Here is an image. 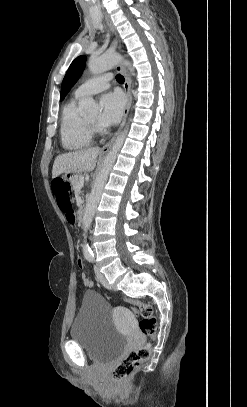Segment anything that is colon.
I'll return each mask as SVG.
<instances>
[{"label":"colon","instance_id":"5ec220e1","mask_svg":"<svg viewBox=\"0 0 247 407\" xmlns=\"http://www.w3.org/2000/svg\"><path fill=\"white\" fill-rule=\"evenodd\" d=\"M52 191L60 210L64 214L69 213L72 210L71 185L62 179H55L52 182ZM125 301L132 305L134 312L140 317V331L144 335L153 338L157 331V320L154 316L152 306L132 297H126ZM150 355L151 345L149 343L129 352L124 356L121 362L113 368L111 378L115 382L124 381L133 371L139 368L143 362L148 360Z\"/></svg>","mask_w":247,"mask_h":407}]
</instances>
